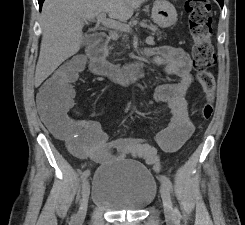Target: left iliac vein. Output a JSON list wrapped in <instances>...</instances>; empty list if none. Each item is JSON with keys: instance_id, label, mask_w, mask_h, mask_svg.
I'll return each mask as SVG.
<instances>
[{"instance_id": "4c4485c4", "label": "left iliac vein", "mask_w": 245, "mask_h": 225, "mask_svg": "<svg viewBox=\"0 0 245 225\" xmlns=\"http://www.w3.org/2000/svg\"><path fill=\"white\" fill-rule=\"evenodd\" d=\"M160 193L163 201L165 217L168 221H172L174 219L172 201L169 190L164 184L160 187Z\"/></svg>"}]
</instances>
